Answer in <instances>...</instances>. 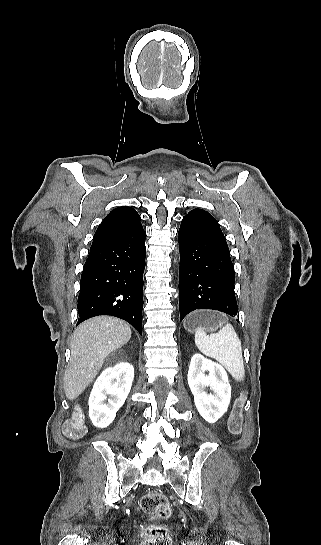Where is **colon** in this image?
Here are the masks:
<instances>
[{"label": "colon", "instance_id": "obj_1", "mask_svg": "<svg viewBox=\"0 0 321 545\" xmlns=\"http://www.w3.org/2000/svg\"><path fill=\"white\" fill-rule=\"evenodd\" d=\"M245 403L243 396L237 398L233 404L229 418V430L232 434H239L242 429V411ZM86 431L82 415H75L64 426V433L71 439L81 438ZM139 508L154 522L142 528L144 538L143 545H170L166 528L157 523L158 520L167 519L171 514V508L167 498L160 493H147L139 502Z\"/></svg>", "mask_w": 321, "mask_h": 545}]
</instances>
